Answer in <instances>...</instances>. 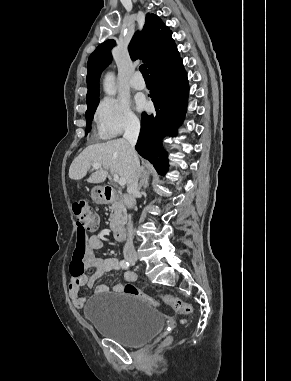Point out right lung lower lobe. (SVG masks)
Masks as SVG:
<instances>
[{"label":"right lung lower lobe","mask_w":291,"mask_h":381,"mask_svg":"<svg viewBox=\"0 0 291 381\" xmlns=\"http://www.w3.org/2000/svg\"><path fill=\"white\" fill-rule=\"evenodd\" d=\"M150 75V96L156 113L142 114L141 131L135 148L142 157L154 164L159 174L164 175L168 159L161 149L162 139L166 135L176 134L172 126L182 123L188 96L187 74L178 51L155 66Z\"/></svg>","instance_id":"98d812e1"}]
</instances>
